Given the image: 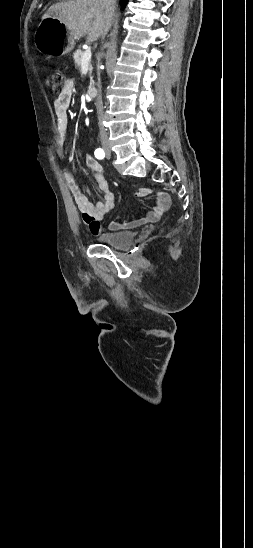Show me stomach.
<instances>
[{
	"mask_svg": "<svg viewBox=\"0 0 253 548\" xmlns=\"http://www.w3.org/2000/svg\"><path fill=\"white\" fill-rule=\"evenodd\" d=\"M35 46L39 52L50 56H63L71 52L75 39L57 18L43 19L34 37Z\"/></svg>",
	"mask_w": 253,
	"mask_h": 548,
	"instance_id": "stomach-1",
	"label": "stomach"
}]
</instances>
